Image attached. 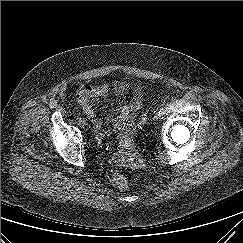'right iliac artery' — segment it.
<instances>
[{
  "label": "right iliac artery",
  "instance_id": "1",
  "mask_svg": "<svg viewBox=\"0 0 243 243\" xmlns=\"http://www.w3.org/2000/svg\"><path fill=\"white\" fill-rule=\"evenodd\" d=\"M75 115H76L75 117H76L77 119H80V118H81L80 114L77 113V114H75Z\"/></svg>",
  "mask_w": 243,
  "mask_h": 243
}]
</instances>
